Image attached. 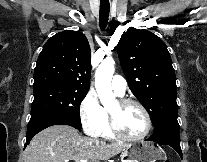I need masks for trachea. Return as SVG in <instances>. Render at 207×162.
Returning <instances> with one entry per match:
<instances>
[{
	"mask_svg": "<svg viewBox=\"0 0 207 162\" xmlns=\"http://www.w3.org/2000/svg\"><path fill=\"white\" fill-rule=\"evenodd\" d=\"M109 11H110L109 0H101L100 13H99V24L101 30H104L106 28V25L108 23Z\"/></svg>",
	"mask_w": 207,
	"mask_h": 162,
	"instance_id": "3493384b",
	"label": "trachea"
}]
</instances>
